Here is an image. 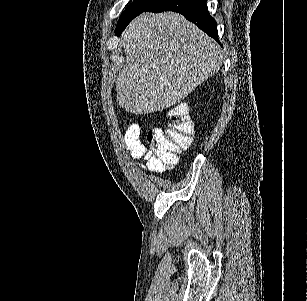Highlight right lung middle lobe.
<instances>
[{"instance_id": "obj_1", "label": "right lung middle lobe", "mask_w": 307, "mask_h": 301, "mask_svg": "<svg viewBox=\"0 0 307 301\" xmlns=\"http://www.w3.org/2000/svg\"><path fill=\"white\" fill-rule=\"evenodd\" d=\"M160 0H135L132 2L122 13L115 30V34L120 36L126 26L130 23L132 19L141 14L142 12L149 9L155 3Z\"/></svg>"}]
</instances>
